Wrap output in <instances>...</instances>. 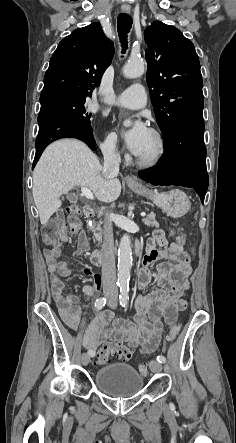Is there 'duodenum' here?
Returning a JSON list of instances; mask_svg holds the SVG:
<instances>
[{"label":"duodenum","instance_id":"1","mask_svg":"<svg viewBox=\"0 0 236 443\" xmlns=\"http://www.w3.org/2000/svg\"><path fill=\"white\" fill-rule=\"evenodd\" d=\"M84 214L87 218L91 219L94 218L96 215L95 209L91 206H86L84 209ZM135 253L137 256L140 255V246H135ZM91 261L95 266H101L103 264V260L101 257V253L98 250H94L91 253Z\"/></svg>","mask_w":236,"mask_h":443}]
</instances>
